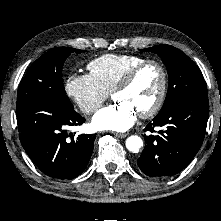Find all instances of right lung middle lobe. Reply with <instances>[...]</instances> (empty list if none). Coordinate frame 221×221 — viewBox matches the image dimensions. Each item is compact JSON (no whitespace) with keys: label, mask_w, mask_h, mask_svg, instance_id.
<instances>
[{"label":"right lung middle lobe","mask_w":221,"mask_h":221,"mask_svg":"<svg viewBox=\"0 0 221 221\" xmlns=\"http://www.w3.org/2000/svg\"><path fill=\"white\" fill-rule=\"evenodd\" d=\"M72 52L81 53L82 50L57 47L38 58L20 82L17 106L33 99H46L64 107L73 108L65 95L61 75L63 62Z\"/></svg>","instance_id":"right-lung-middle-lobe-1"}]
</instances>
